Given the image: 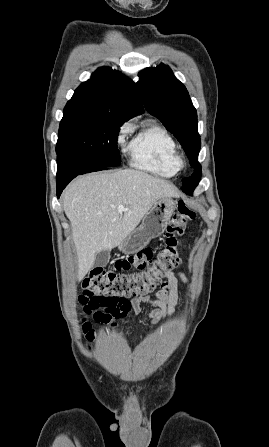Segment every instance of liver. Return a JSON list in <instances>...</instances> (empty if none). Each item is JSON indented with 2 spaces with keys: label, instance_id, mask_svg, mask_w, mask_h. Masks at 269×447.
<instances>
[{
  "label": "liver",
  "instance_id": "6515ba94",
  "mask_svg": "<svg viewBox=\"0 0 269 447\" xmlns=\"http://www.w3.org/2000/svg\"><path fill=\"white\" fill-rule=\"evenodd\" d=\"M160 198H179L168 180L137 170H112L80 176L63 194L78 255V281L90 271L96 253L112 249L140 224ZM118 206L128 208L118 212Z\"/></svg>",
  "mask_w": 269,
  "mask_h": 447
}]
</instances>
